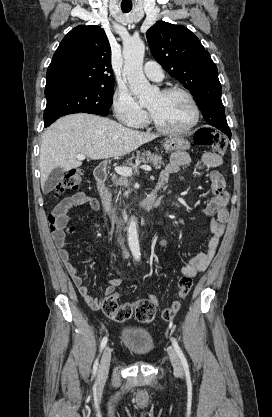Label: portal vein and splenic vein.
<instances>
[{
	"instance_id": "1",
	"label": "portal vein and splenic vein",
	"mask_w": 272,
	"mask_h": 417,
	"mask_svg": "<svg viewBox=\"0 0 272 417\" xmlns=\"http://www.w3.org/2000/svg\"><path fill=\"white\" fill-rule=\"evenodd\" d=\"M76 158L78 160H84L85 159V155L84 154H77ZM143 170L146 171H151L152 168L148 165H142L140 166ZM116 173H118L119 175L122 176H131L132 175V169L130 167H116L115 168Z\"/></svg>"
}]
</instances>
